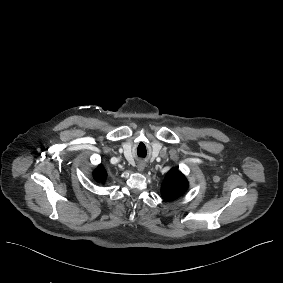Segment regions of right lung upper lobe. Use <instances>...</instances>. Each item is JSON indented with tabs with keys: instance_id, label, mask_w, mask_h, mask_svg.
I'll use <instances>...</instances> for the list:
<instances>
[{
	"instance_id": "cb5924a9",
	"label": "right lung upper lobe",
	"mask_w": 283,
	"mask_h": 283,
	"mask_svg": "<svg viewBox=\"0 0 283 283\" xmlns=\"http://www.w3.org/2000/svg\"><path fill=\"white\" fill-rule=\"evenodd\" d=\"M93 176L96 181L104 183L107 177V172L102 165H99L93 172Z\"/></svg>"
}]
</instances>
